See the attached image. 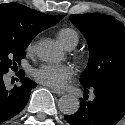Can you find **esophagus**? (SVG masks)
Returning a JSON list of instances; mask_svg holds the SVG:
<instances>
[{
    "label": "esophagus",
    "instance_id": "obj_1",
    "mask_svg": "<svg viewBox=\"0 0 125 125\" xmlns=\"http://www.w3.org/2000/svg\"><path fill=\"white\" fill-rule=\"evenodd\" d=\"M52 91H53L55 94L59 95V96H61V95H64V94H65V92H64V91L59 90V89H52Z\"/></svg>",
    "mask_w": 125,
    "mask_h": 125
}]
</instances>
